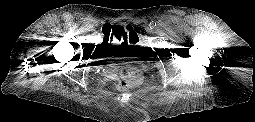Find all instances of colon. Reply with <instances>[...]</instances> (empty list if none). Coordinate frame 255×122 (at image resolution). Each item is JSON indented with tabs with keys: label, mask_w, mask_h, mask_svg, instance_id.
Wrapping results in <instances>:
<instances>
[{
	"label": "colon",
	"mask_w": 255,
	"mask_h": 122,
	"mask_svg": "<svg viewBox=\"0 0 255 122\" xmlns=\"http://www.w3.org/2000/svg\"><path fill=\"white\" fill-rule=\"evenodd\" d=\"M106 35H113L120 39L121 42L135 41L136 32L132 26L108 25L103 28ZM120 78L117 82V88L120 91L128 90L139 84L141 81L140 71L129 64H125L120 68Z\"/></svg>",
	"instance_id": "5ec220e1"
}]
</instances>
